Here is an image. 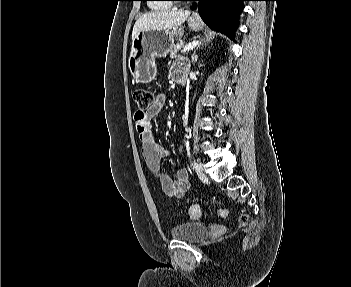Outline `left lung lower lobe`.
<instances>
[{
	"label": "left lung lower lobe",
	"instance_id": "obj_1",
	"mask_svg": "<svg viewBox=\"0 0 351 287\" xmlns=\"http://www.w3.org/2000/svg\"><path fill=\"white\" fill-rule=\"evenodd\" d=\"M198 1V12L203 21L212 29L234 39L238 17L243 10V1L248 0H190ZM211 2H215L213 5ZM192 9L196 8L194 4Z\"/></svg>",
	"mask_w": 351,
	"mask_h": 287
}]
</instances>
